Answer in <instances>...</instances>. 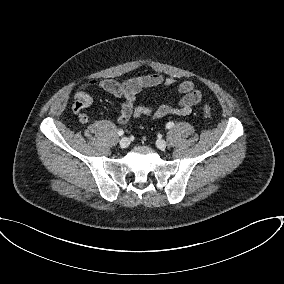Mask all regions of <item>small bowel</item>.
Wrapping results in <instances>:
<instances>
[{"label": "small bowel", "instance_id": "small-bowel-1", "mask_svg": "<svg viewBox=\"0 0 284 284\" xmlns=\"http://www.w3.org/2000/svg\"><path fill=\"white\" fill-rule=\"evenodd\" d=\"M176 79L164 77L161 74H147L133 77L125 81L113 79L94 80L83 84L74 93V102L71 106L73 113L77 114L81 124L88 122V115L84 112L92 104V97L89 94L91 88L97 87L122 100L121 110L118 115V122L126 124L131 119L150 117L160 119L167 115L186 116L190 114L195 105L202 99V93L190 80L179 83L175 92L180 96L170 103L161 104L156 107L134 106L136 95L146 89L155 87H170L175 85Z\"/></svg>", "mask_w": 284, "mask_h": 284}]
</instances>
